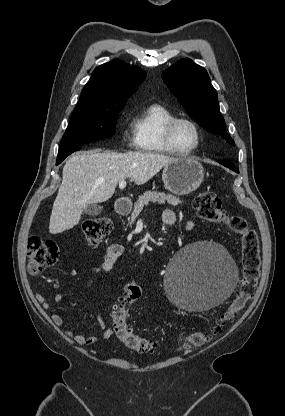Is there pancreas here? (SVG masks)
Returning a JSON list of instances; mask_svg holds the SVG:
<instances>
[{"label": "pancreas", "mask_w": 285, "mask_h": 416, "mask_svg": "<svg viewBox=\"0 0 285 416\" xmlns=\"http://www.w3.org/2000/svg\"><path fill=\"white\" fill-rule=\"evenodd\" d=\"M149 202H158V204H166L167 202V204H172V206L181 204L180 198H176V196H172V194H164V192H145V194L139 196L137 202H135L128 226L134 224V220L138 218L141 210H143L144 206H147Z\"/></svg>", "instance_id": "obj_1"}]
</instances>
